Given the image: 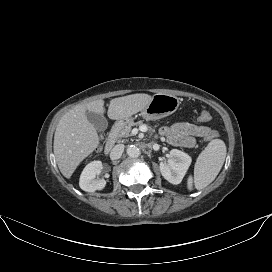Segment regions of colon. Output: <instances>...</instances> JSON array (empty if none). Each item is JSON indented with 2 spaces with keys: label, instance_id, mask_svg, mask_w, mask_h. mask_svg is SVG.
Instances as JSON below:
<instances>
[{
  "label": "colon",
  "instance_id": "obj_1",
  "mask_svg": "<svg viewBox=\"0 0 272 272\" xmlns=\"http://www.w3.org/2000/svg\"><path fill=\"white\" fill-rule=\"evenodd\" d=\"M210 120V114L206 111H202L199 116H198V121L201 123H206ZM217 136V134L214 131H210L206 136L205 139L206 140H211L213 138H215Z\"/></svg>",
  "mask_w": 272,
  "mask_h": 272
}]
</instances>
